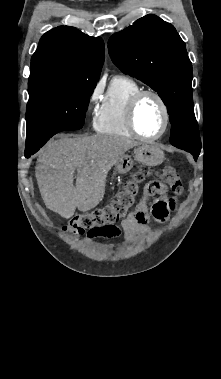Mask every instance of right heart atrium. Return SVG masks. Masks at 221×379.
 <instances>
[{
	"label": "right heart atrium",
	"mask_w": 221,
	"mask_h": 379,
	"mask_svg": "<svg viewBox=\"0 0 221 379\" xmlns=\"http://www.w3.org/2000/svg\"><path fill=\"white\" fill-rule=\"evenodd\" d=\"M102 93V86L101 84H97L92 91L90 92L88 99H87V107L88 109H91L92 106L98 101Z\"/></svg>",
	"instance_id": "d8ad5b80"
}]
</instances>
